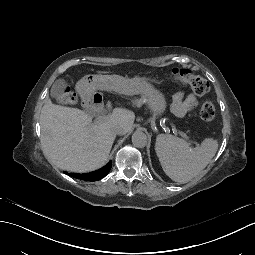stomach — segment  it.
Segmentation results:
<instances>
[{
    "label": "stomach",
    "instance_id": "1",
    "mask_svg": "<svg viewBox=\"0 0 255 255\" xmlns=\"http://www.w3.org/2000/svg\"><path fill=\"white\" fill-rule=\"evenodd\" d=\"M109 88L112 91L120 90L121 93L127 95L141 94L144 96L148 108L156 115L163 112L167 96L155 86L149 84L146 78L136 76L132 79H123L119 83L117 80H112L109 83Z\"/></svg>",
    "mask_w": 255,
    "mask_h": 255
}]
</instances>
